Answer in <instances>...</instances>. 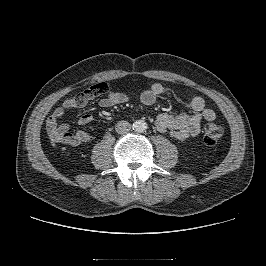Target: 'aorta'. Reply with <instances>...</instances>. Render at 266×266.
<instances>
[{"instance_id": "aorta-1", "label": "aorta", "mask_w": 266, "mask_h": 266, "mask_svg": "<svg viewBox=\"0 0 266 266\" xmlns=\"http://www.w3.org/2000/svg\"><path fill=\"white\" fill-rule=\"evenodd\" d=\"M133 129L135 132L142 133L147 129V123L143 120H137L133 123Z\"/></svg>"}]
</instances>
